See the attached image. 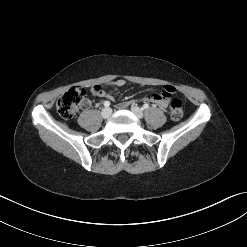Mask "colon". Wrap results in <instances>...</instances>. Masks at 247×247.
Instances as JSON below:
<instances>
[{
    "instance_id": "1",
    "label": "colon",
    "mask_w": 247,
    "mask_h": 247,
    "mask_svg": "<svg viewBox=\"0 0 247 247\" xmlns=\"http://www.w3.org/2000/svg\"><path fill=\"white\" fill-rule=\"evenodd\" d=\"M96 89L101 85H96ZM85 89L73 87L64 93L57 101L56 108L58 114L64 119H71L75 116L79 108L84 104ZM170 116L174 121H179L183 116V103L179 99H173L170 104Z\"/></svg>"
}]
</instances>
